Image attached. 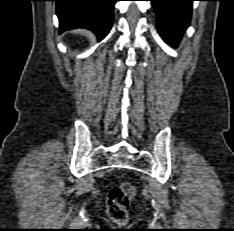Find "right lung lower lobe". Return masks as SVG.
Segmentation results:
<instances>
[{
    "label": "right lung lower lobe",
    "mask_w": 234,
    "mask_h": 231,
    "mask_svg": "<svg viewBox=\"0 0 234 231\" xmlns=\"http://www.w3.org/2000/svg\"><path fill=\"white\" fill-rule=\"evenodd\" d=\"M60 33L87 28L102 40L110 31L116 0H55Z\"/></svg>",
    "instance_id": "1"
}]
</instances>
